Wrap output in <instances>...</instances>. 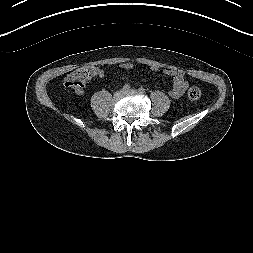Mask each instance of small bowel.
Returning <instances> with one entry per match:
<instances>
[{"mask_svg":"<svg viewBox=\"0 0 253 253\" xmlns=\"http://www.w3.org/2000/svg\"><path fill=\"white\" fill-rule=\"evenodd\" d=\"M121 67L125 68V69H129V68L133 67V64L124 63L121 65ZM92 71H93L94 75H96V76H99V77L104 76V71L102 69L93 67ZM163 72L165 74L171 76V78H172V84H171L169 94L173 98H177V97L181 96L185 92L186 87H187V82L185 80L184 72L179 71V70H173V69H167V70H164ZM76 93L79 95H83L84 90L76 91Z\"/></svg>","mask_w":253,"mask_h":253,"instance_id":"c3829d8e","label":"small bowel"}]
</instances>
